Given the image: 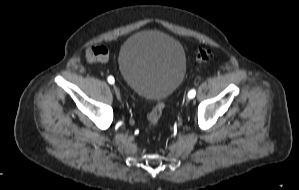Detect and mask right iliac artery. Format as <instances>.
Segmentation results:
<instances>
[{"label": "right iliac artery", "mask_w": 299, "mask_h": 190, "mask_svg": "<svg viewBox=\"0 0 299 190\" xmlns=\"http://www.w3.org/2000/svg\"><path fill=\"white\" fill-rule=\"evenodd\" d=\"M114 77L113 76H109L108 77V82L110 83V84H113L114 83Z\"/></svg>", "instance_id": "right-iliac-artery-1"}]
</instances>
